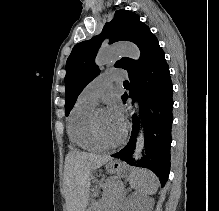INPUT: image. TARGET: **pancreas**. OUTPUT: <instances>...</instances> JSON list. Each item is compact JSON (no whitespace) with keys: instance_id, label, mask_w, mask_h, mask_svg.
Segmentation results:
<instances>
[{"instance_id":"cf45deb5","label":"pancreas","mask_w":219,"mask_h":211,"mask_svg":"<svg viewBox=\"0 0 219 211\" xmlns=\"http://www.w3.org/2000/svg\"><path fill=\"white\" fill-rule=\"evenodd\" d=\"M121 187L124 189V186L107 187L110 189L109 195H105L104 199L91 200L90 211H120L119 205L124 199V196L119 193Z\"/></svg>"}]
</instances>
